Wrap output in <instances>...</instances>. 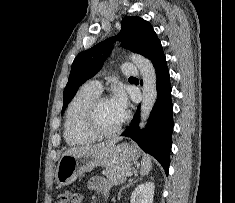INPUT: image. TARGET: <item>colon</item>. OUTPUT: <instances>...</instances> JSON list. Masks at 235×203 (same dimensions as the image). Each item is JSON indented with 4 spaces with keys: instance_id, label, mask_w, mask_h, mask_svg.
I'll return each mask as SVG.
<instances>
[{
    "instance_id": "obj_1",
    "label": "colon",
    "mask_w": 235,
    "mask_h": 203,
    "mask_svg": "<svg viewBox=\"0 0 235 203\" xmlns=\"http://www.w3.org/2000/svg\"><path fill=\"white\" fill-rule=\"evenodd\" d=\"M58 203H81V196L76 191L66 190L59 195Z\"/></svg>"
}]
</instances>
